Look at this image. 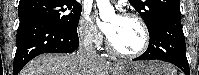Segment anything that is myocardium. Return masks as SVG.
Segmentation results:
<instances>
[{
  "label": "myocardium",
  "instance_id": "f54148a6",
  "mask_svg": "<svg viewBox=\"0 0 199 75\" xmlns=\"http://www.w3.org/2000/svg\"><path fill=\"white\" fill-rule=\"evenodd\" d=\"M122 18L133 20V21H135L139 25V27L142 30V34H143V43H142V46L137 51H132V52L124 51V50H121L118 47H116L112 43V41L110 40V38H108L107 39L108 47L110 48L111 51H113L114 53L119 54L121 56L129 57V58L138 57V56L142 55L143 53H145L146 50L149 47V44H150V34H149L148 27H147L146 23L144 22V20L140 16H138L136 14L125 13V14L122 15Z\"/></svg>",
  "mask_w": 199,
  "mask_h": 75
}]
</instances>
